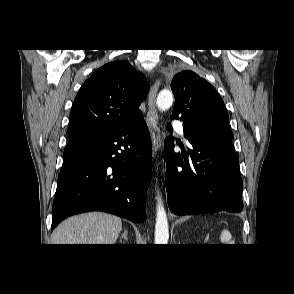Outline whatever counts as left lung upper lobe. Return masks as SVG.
I'll return each instance as SVG.
<instances>
[{
    "mask_svg": "<svg viewBox=\"0 0 294 294\" xmlns=\"http://www.w3.org/2000/svg\"><path fill=\"white\" fill-rule=\"evenodd\" d=\"M171 89L176 98L172 116L183 121L185 136L232 141L224 102L210 83L185 70L173 77Z\"/></svg>",
    "mask_w": 294,
    "mask_h": 294,
    "instance_id": "1",
    "label": "left lung upper lobe"
}]
</instances>
